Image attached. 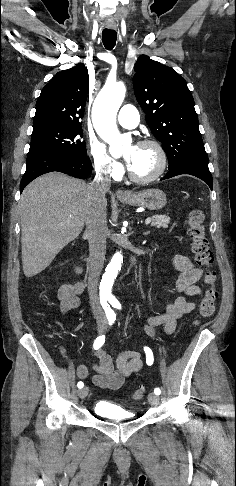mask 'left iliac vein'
<instances>
[{"mask_svg": "<svg viewBox=\"0 0 236 486\" xmlns=\"http://www.w3.org/2000/svg\"><path fill=\"white\" fill-rule=\"evenodd\" d=\"M159 401H160L159 396L156 395L155 393H150L148 395V402L151 405H157V404H159Z\"/></svg>", "mask_w": 236, "mask_h": 486, "instance_id": "obj_1", "label": "left iliac vein"}]
</instances>
